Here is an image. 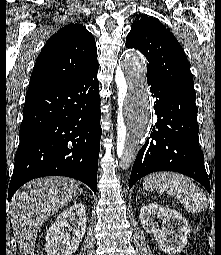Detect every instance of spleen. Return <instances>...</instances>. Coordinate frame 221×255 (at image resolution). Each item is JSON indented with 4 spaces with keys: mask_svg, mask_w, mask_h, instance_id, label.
<instances>
[{
    "mask_svg": "<svg viewBox=\"0 0 221 255\" xmlns=\"http://www.w3.org/2000/svg\"><path fill=\"white\" fill-rule=\"evenodd\" d=\"M148 191L166 192L183 202L186 210L200 213L207 207L205 194L187 177L171 172H159L148 175L143 183Z\"/></svg>",
    "mask_w": 221,
    "mask_h": 255,
    "instance_id": "spleen-1",
    "label": "spleen"
}]
</instances>
